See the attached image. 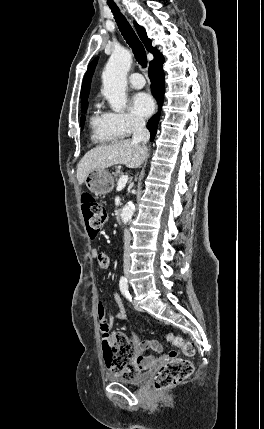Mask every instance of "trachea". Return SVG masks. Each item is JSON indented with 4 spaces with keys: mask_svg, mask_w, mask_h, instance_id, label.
<instances>
[{
    "mask_svg": "<svg viewBox=\"0 0 264 429\" xmlns=\"http://www.w3.org/2000/svg\"><path fill=\"white\" fill-rule=\"evenodd\" d=\"M108 5L112 10V13L117 22L118 28L120 29V32L122 33L127 44L131 47L137 62L143 68H146L148 61H147V56H146V52L143 44L137 37L136 33L134 32L133 28L128 23L126 18L121 14L119 9L116 7V5L110 4V3Z\"/></svg>",
    "mask_w": 264,
    "mask_h": 429,
    "instance_id": "3493384b",
    "label": "trachea"
}]
</instances>
